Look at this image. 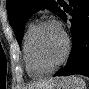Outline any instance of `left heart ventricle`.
Instances as JSON below:
<instances>
[{
	"label": "left heart ventricle",
	"mask_w": 89,
	"mask_h": 89,
	"mask_svg": "<svg viewBox=\"0 0 89 89\" xmlns=\"http://www.w3.org/2000/svg\"><path fill=\"white\" fill-rule=\"evenodd\" d=\"M65 42L61 31L53 24L44 26L36 41V53L42 66L54 65L62 56Z\"/></svg>",
	"instance_id": "left-heart-ventricle-1"
}]
</instances>
